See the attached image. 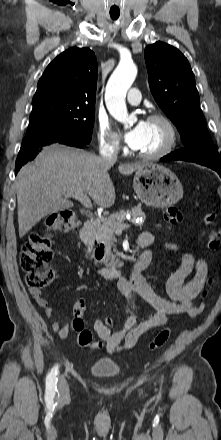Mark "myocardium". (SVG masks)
I'll return each mask as SVG.
<instances>
[{"mask_svg":"<svg viewBox=\"0 0 221 440\" xmlns=\"http://www.w3.org/2000/svg\"><path fill=\"white\" fill-rule=\"evenodd\" d=\"M149 122H160L167 131V140L163 147L154 152L138 151L137 155L146 160L161 159L169 155L177 144V130L172 120L163 113H154L148 117Z\"/></svg>","mask_w":221,"mask_h":440,"instance_id":"f54148a6","label":"myocardium"}]
</instances>
